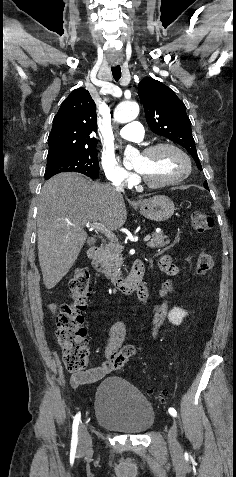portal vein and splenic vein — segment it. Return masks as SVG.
<instances>
[{"label": "portal vein and splenic vein", "mask_w": 236, "mask_h": 477, "mask_svg": "<svg viewBox=\"0 0 236 477\" xmlns=\"http://www.w3.org/2000/svg\"><path fill=\"white\" fill-rule=\"evenodd\" d=\"M86 226L90 229V230H97L101 233H103L107 238L109 239H116V236L115 234L109 230L104 224H101V223H87ZM151 238L150 235H146L144 237V241L147 242L149 241Z\"/></svg>", "instance_id": "1"}]
</instances>
